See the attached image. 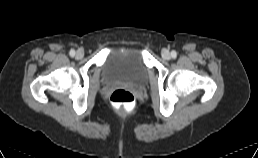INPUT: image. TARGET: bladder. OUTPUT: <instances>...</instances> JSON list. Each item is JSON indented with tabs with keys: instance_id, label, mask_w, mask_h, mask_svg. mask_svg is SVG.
Instances as JSON below:
<instances>
[{
	"instance_id": "bladder-1",
	"label": "bladder",
	"mask_w": 258,
	"mask_h": 158,
	"mask_svg": "<svg viewBox=\"0 0 258 158\" xmlns=\"http://www.w3.org/2000/svg\"><path fill=\"white\" fill-rule=\"evenodd\" d=\"M104 74L113 80H125L135 84H142L148 76V67L144 55L136 47H128L110 54Z\"/></svg>"
}]
</instances>
